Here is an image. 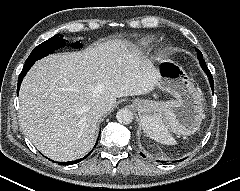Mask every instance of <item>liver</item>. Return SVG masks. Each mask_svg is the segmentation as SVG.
I'll list each match as a JSON object with an SVG mask.
<instances>
[{
  "label": "liver",
  "instance_id": "6515ba94",
  "mask_svg": "<svg viewBox=\"0 0 240 191\" xmlns=\"http://www.w3.org/2000/svg\"><path fill=\"white\" fill-rule=\"evenodd\" d=\"M158 79L157 70L126 41L47 56L23 79L20 127L48 158L76 160L92 147L99 119L117 98L147 94ZM99 101L107 102L105 113L95 109Z\"/></svg>",
  "mask_w": 240,
  "mask_h": 191
}]
</instances>
